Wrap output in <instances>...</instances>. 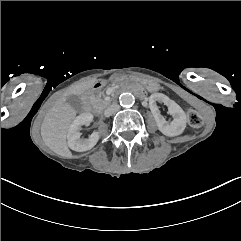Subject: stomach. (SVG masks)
Segmentation results:
<instances>
[{"instance_id": "obj_1", "label": "stomach", "mask_w": 241, "mask_h": 241, "mask_svg": "<svg viewBox=\"0 0 241 241\" xmlns=\"http://www.w3.org/2000/svg\"><path fill=\"white\" fill-rule=\"evenodd\" d=\"M113 79L116 82H122V83H130V84L140 83L150 92H155L160 88V85L153 80L142 79L134 76L116 74L113 76Z\"/></svg>"}]
</instances>
